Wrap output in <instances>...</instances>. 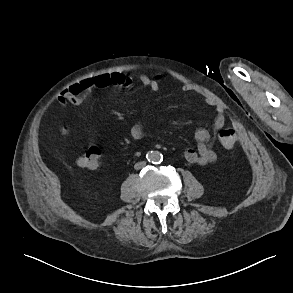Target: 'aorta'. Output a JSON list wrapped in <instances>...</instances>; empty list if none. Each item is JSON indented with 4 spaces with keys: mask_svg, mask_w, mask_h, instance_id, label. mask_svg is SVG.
Listing matches in <instances>:
<instances>
[{
    "mask_svg": "<svg viewBox=\"0 0 293 293\" xmlns=\"http://www.w3.org/2000/svg\"><path fill=\"white\" fill-rule=\"evenodd\" d=\"M147 158L150 162L157 164L162 161V154L159 151H151L148 153Z\"/></svg>",
    "mask_w": 293,
    "mask_h": 293,
    "instance_id": "aorta-1",
    "label": "aorta"
}]
</instances>
